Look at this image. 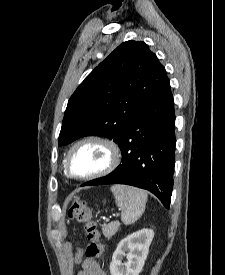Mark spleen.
I'll use <instances>...</instances> for the list:
<instances>
[{
	"instance_id": "obj_1",
	"label": "spleen",
	"mask_w": 225,
	"mask_h": 275,
	"mask_svg": "<svg viewBox=\"0 0 225 275\" xmlns=\"http://www.w3.org/2000/svg\"><path fill=\"white\" fill-rule=\"evenodd\" d=\"M111 192L121 209V220L125 225L135 223L144 213L147 193L144 190L126 185H113Z\"/></svg>"
}]
</instances>
